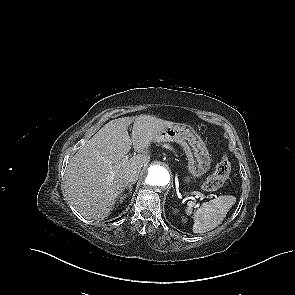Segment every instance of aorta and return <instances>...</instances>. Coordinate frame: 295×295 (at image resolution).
Wrapping results in <instances>:
<instances>
[{
    "mask_svg": "<svg viewBox=\"0 0 295 295\" xmlns=\"http://www.w3.org/2000/svg\"><path fill=\"white\" fill-rule=\"evenodd\" d=\"M170 182V174L166 167L153 164L147 169L145 183L149 188L159 189L167 186Z\"/></svg>",
    "mask_w": 295,
    "mask_h": 295,
    "instance_id": "762f6f07",
    "label": "aorta"
}]
</instances>
